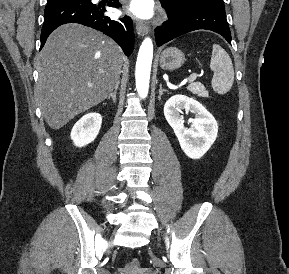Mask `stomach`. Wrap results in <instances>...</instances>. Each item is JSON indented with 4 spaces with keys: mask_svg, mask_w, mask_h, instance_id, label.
I'll list each match as a JSON object with an SVG mask.
<instances>
[{
    "mask_svg": "<svg viewBox=\"0 0 289 274\" xmlns=\"http://www.w3.org/2000/svg\"><path fill=\"white\" fill-rule=\"evenodd\" d=\"M185 60V55L180 49L170 47L161 53L159 63L162 69L173 71L180 68Z\"/></svg>",
    "mask_w": 289,
    "mask_h": 274,
    "instance_id": "0dacf381",
    "label": "stomach"
}]
</instances>
